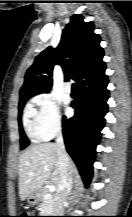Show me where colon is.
Segmentation results:
<instances>
[{"mask_svg":"<svg viewBox=\"0 0 132 217\" xmlns=\"http://www.w3.org/2000/svg\"><path fill=\"white\" fill-rule=\"evenodd\" d=\"M19 217H34V216H29V214H27V213H23L21 216H19Z\"/></svg>","mask_w":132,"mask_h":217,"instance_id":"5ec220e1","label":"colon"}]
</instances>
